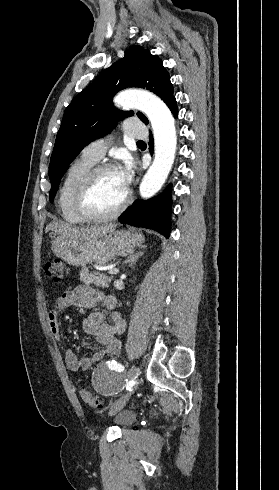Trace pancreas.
<instances>
[{
  "label": "pancreas",
  "mask_w": 279,
  "mask_h": 490,
  "mask_svg": "<svg viewBox=\"0 0 279 490\" xmlns=\"http://www.w3.org/2000/svg\"><path fill=\"white\" fill-rule=\"evenodd\" d=\"M79 276V280L83 284H93V286H98V288H108L114 278L113 274L105 276V274H100V272H89V268H83Z\"/></svg>",
  "instance_id": "cf45deb5"
}]
</instances>
